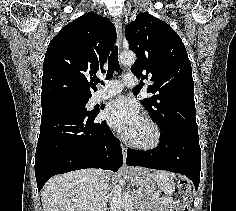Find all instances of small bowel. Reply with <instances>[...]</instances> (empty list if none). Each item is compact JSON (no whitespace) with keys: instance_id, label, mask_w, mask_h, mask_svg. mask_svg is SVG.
<instances>
[{"instance_id":"c3829d8e","label":"small bowel","mask_w":236,"mask_h":211,"mask_svg":"<svg viewBox=\"0 0 236 211\" xmlns=\"http://www.w3.org/2000/svg\"><path fill=\"white\" fill-rule=\"evenodd\" d=\"M180 208L175 204H172L168 200L161 199L157 202L155 208L148 210V211H179Z\"/></svg>"}]
</instances>
